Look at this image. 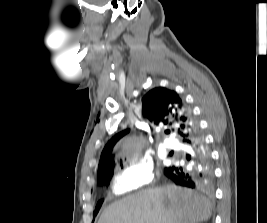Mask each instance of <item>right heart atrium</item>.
I'll return each instance as SVG.
<instances>
[{
  "instance_id": "obj_1",
  "label": "right heart atrium",
  "mask_w": 267,
  "mask_h": 223,
  "mask_svg": "<svg viewBox=\"0 0 267 223\" xmlns=\"http://www.w3.org/2000/svg\"><path fill=\"white\" fill-rule=\"evenodd\" d=\"M155 179V169L148 162L130 163L118 170L112 182L115 194L132 193L141 190Z\"/></svg>"
}]
</instances>
